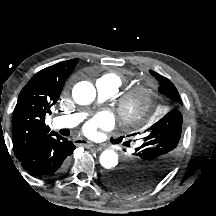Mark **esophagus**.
<instances>
[{
	"instance_id": "esophagus-1",
	"label": "esophagus",
	"mask_w": 216,
	"mask_h": 216,
	"mask_svg": "<svg viewBox=\"0 0 216 216\" xmlns=\"http://www.w3.org/2000/svg\"><path fill=\"white\" fill-rule=\"evenodd\" d=\"M74 141H78L77 144H80V145H82V146L95 147V148H97L98 150H101V149L103 148V147L100 146V145H96V144H94V143H92V142H90V141H86V140H83L81 143H79V139H76V140H74Z\"/></svg>"
}]
</instances>
